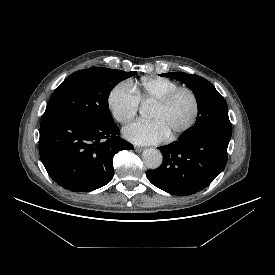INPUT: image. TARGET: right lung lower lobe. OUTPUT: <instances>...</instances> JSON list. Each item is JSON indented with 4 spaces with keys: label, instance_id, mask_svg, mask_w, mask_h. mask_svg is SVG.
I'll return each mask as SVG.
<instances>
[{
    "label": "right lung lower lobe",
    "instance_id": "right-lung-lower-lobe-1",
    "mask_svg": "<svg viewBox=\"0 0 275 275\" xmlns=\"http://www.w3.org/2000/svg\"><path fill=\"white\" fill-rule=\"evenodd\" d=\"M115 123L68 114L43 116L39 154L49 176L75 192H89L109 183L113 157L133 145L121 139Z\"/></svg>",
    "mask_w": 275,
    "mask_h": 275
}]
</instances>
